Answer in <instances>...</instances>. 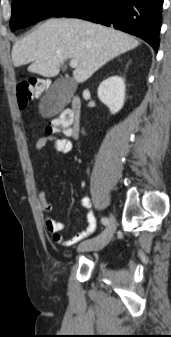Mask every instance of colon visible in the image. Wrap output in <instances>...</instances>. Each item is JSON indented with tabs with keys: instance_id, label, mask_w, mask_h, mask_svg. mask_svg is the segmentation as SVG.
Here are the masks:
<instances>
[{
	"instance_id": "obj_1",
	"label": "colon",
	"mask_w": 171,
	"mask_h": 337,
	"mask_svg": "<svg viewBox=\"0 0 171 337\" xmlns=\"http://www.w3.org/2000/svg\"><path fill=\"white\" fill-rule=\"evenodd\" d=\"M49 86L48 81L40 78H24L17 83L16 93L18 104L25 109L32 98L43 93ZM71 131L68 116L63 113L60 117L50 121L46 127L47 135L67 134Z\"/></svg>"
}]
</instances>
